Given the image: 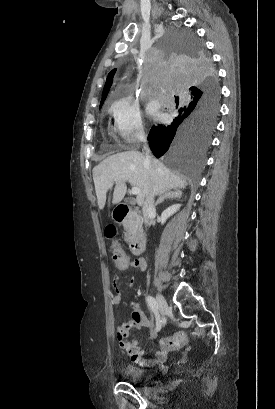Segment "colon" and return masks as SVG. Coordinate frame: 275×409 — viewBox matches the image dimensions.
<instances>
[{"mask_svg":"<svg viewBox=\"0 0 275 409\" xmlns=\"http://www.w3.org/2000/svg\"><path fill=\"white\" fill-rule=\"evenodd\" d=\"M106 235L110 239L115 234L114 227H108L106 230ZM113 251L117 255L115 262L119 270H126L128 264L130 263V258L128 256H123L122 248L116 242L112 243ZM189 344V338L185 331H178L171 337H166L161 341V346L167 350H174L184 348Z\"/></svg>","mask_w":275,"mask_h":409,"instance_id":"5ec220e1","label":"colon"}]
</instances>
